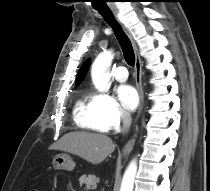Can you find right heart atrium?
I'll use <instances>...</instances> for the list:
<instances>
[{"mask_svg":"<svg viewBox=\"0 0 210 191\" xmlns=\"http://www.w3.org/2000/svg\"><path fill=\"white\" fill-rule=\"evenodd\" d=\"M92 102L99 119L108 130H117L127 123L128 114L113 97L95 94Z\"/></svg>","mask_w":210,"mask_h":191,"instance_id":"d8ad5b80","label":"right heart atrium"}]
</instances>
